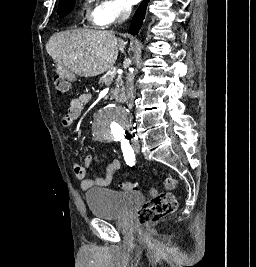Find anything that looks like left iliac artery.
<instances>
[{
	"mask_svg": "<svg viewBox=\"0 0 256 267\" xmlns=\"http://www.w3.org/2000/svg\"><path fill=\"white\" fill-rule=\"evenodd\" d=\"M121 148L127 165L133 166L135 164V155L132 147L129 144V141L122 139Z\"/></svg>",
	"mask_w": 256,
	"mask_h": 267,
	"instance_id": "1",
	"label": "left iliac artery"
}]
</instances>
